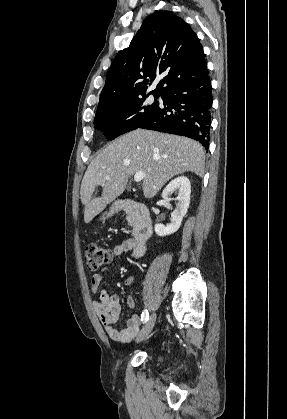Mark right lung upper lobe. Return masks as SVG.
<instances>
[{"label":"right lung upper lobe","instance_id":"1","mask_svg":"<svg viewBox=\"0 0 287 419\" xmlns=\"http://www.w3.org/2000/svg\"><path fill=\"white\" fill-rule=\"evenodd\" d=\"M207 72L202 46L189 24L170 11L155 12L144 20L129 47L116 55L97 110L146 96L156 76L163 79L149 94L163 95Z\"/></svg>","mask_w":287,"mask_h":419}]
</instances>
